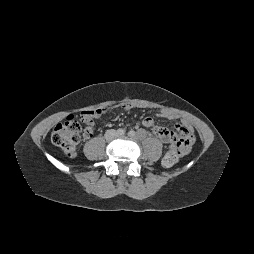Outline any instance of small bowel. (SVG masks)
Masks as SVG:
<instances>
[{"label": "small bowel", "mask_w": 254, "mask_h": 254, "mask_svg": "<svg viewBox=\"0 0 254 254\" xmlns=\"http://www.w3.org/2000/svg\"><path fill=\"white\" fill-rule=\"evenodd\" d=\"M125 109H130L133 107V105L129 103H124L121 105ZM100 112L84 116L83 120L86 124L93 126L95 123V118L107 113L109 111L108 108L99 109ZM95 111V110H92ZM89 112V111H86ZM158 116L164 119H175L177 118L176 114L168 111V110H160L158 113ZM142 124L144 127L151 129L154 134L165 144L173 143L175 142V147L179 151L181 156L187 155L192 147L193 141H194V132L191 128V126L186 123H180L176 125V130L178 133V136L175 135V133L172 130H169L165 127H161L155 123V120L152 117H146L143 119ZM165 165V164H164ZM166 167H170L168 165H165Z\"/></svg>", "instance_id": "c3829d8e"}]
</instances>
